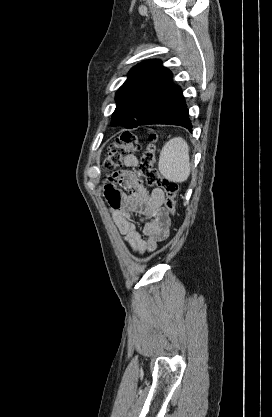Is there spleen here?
I'll return each instance as SVG.
<instances>
[{"instance_id":"obj_1","label":"spleen","mask_w":272,"mask_h":417,"mask_svg":"<svg viewBox=\"0 0 272 417\" xmlns=\"http://www.w3.org/2000/svg\"><path fill=\"white\" fill-rule=\"evenodd\" d=\"M158 168L169 181L182 183L190 175L189 146L182 137L170 139L162 148Z\"/></svg>"}]
</instances>
